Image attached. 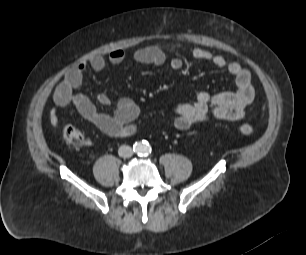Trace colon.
<instances>
[{
    "instance_id": "colon-1",
    "label": "colon",
    "mask_w": 306,
    "mask_h": 255,
    "mask_svg": "<svg viewBox=\"0 0 306 255\" xmlns=\"http://www.w3.org/2000/svg\"><path fill=\"white\" fill-rule=\"evenodd\" d=\"M239 131L243 135H251L254 132V129L249 124H241L239 126ZM62 136L64 141L74 147H80L85 144V138L83 134L74 126L67 125L63 128Z\"/></svg>"
}]
</instances>
